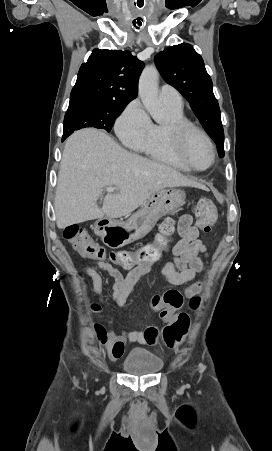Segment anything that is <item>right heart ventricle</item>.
<instances>
[{"instance_id":"1","label":"right heart ventricle","mask_w":272,"mask_h":451,"mask_svg":"<svg viewBox=\"0 0 272 451\" xmlns=\"http://www.w3.org/2000/svg\"><path fill=\"white\" fill-rule=\"evenodd\" d=\"M161 100V99H160ZM161 102L166 106L167 110L171 115V119L182 120V110L178 111L161 100ZM169 123V122H168ZM166 124H154L147 138L138 145H133L137 150L145 153L146 155L154 158L156 160L170 163L173 165H179L176 159L175 151L171 142L166 139Z\"/></svg>"}]
</instances>
